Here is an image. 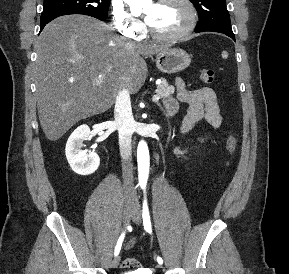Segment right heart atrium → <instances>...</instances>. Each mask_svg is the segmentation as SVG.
<instances>
[{"label":"right heart atrium","mask_w":289,"mask_h":274,"mask_svg":"<svg viewBox=\"0 0 289 274\" xmlns=\"http://www.w3.org/2000/svg\"><path fill=\"white\" fill-rule=\"evenodd\" d=\"M111 10L114 24L120 33L134 39L141 36L143 24L126 11L121 0H113Z\"/></svg>","instance_id":"right-heart-atrium-1"}]
</instances>
